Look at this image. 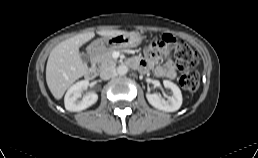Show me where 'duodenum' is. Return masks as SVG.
<instances>
[{
    "mask_svg": "<svg viewBox=\"0 0 258 158\" xmlns=\"http://www.w3.org/2000/svg\"><path fill=\"white\" fill-rule=\"evenodd\" d=\"M101 52V47L100 46H93L92 51H91V65L88 67L86 71V78L87 79H94L98 75V69L96 66V61L99 57V54ZM127 64L135 69H138L139 66L136 63H131L127 62Z\"/></svg>",
    "mask_w": 258,
    "mask_h": 158,
    "instance_id": "obj_1",
    "label": "duodenum"
}]
</instances>
